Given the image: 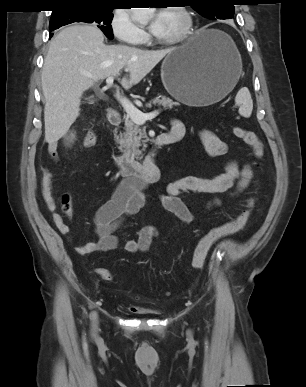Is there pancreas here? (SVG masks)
<instances>
[{
    "label": "pancreas",
    "instance_id": "pancreas-1",
    "mask_svg": "<svg viewBox=\"0 0 306 387\" xmlns=\"http://www.w3.org/2000/svg\"><path fill=\"white\" fill-rule=\"evenodd\" d=\"M152 104L170 109L174 105H178V103L165 96H161V99L156 98L152 102L147 103L146 107L151 108ZM124 130L125 132L119 134V150L125 155H130L134 158L141 159L142 152L147 147L146 142L149 141L146 131L132 122L131 119L127 116L124 117ZM140 147H142L141 150Z\"/></svg>",
    "mask_w": 306,
    "mask_h": 387
}]
</instances>
